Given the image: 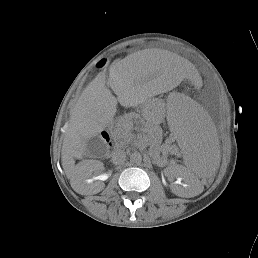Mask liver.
<instances>
[{"label": "liver", "mask_w": 258, "mask_h": 258, "mask_svg": "<svg viewBox=\"0 0 258 258\" xmlns=\"http://www.w3.org/2000/svg\"><path fill=\"white\" fill-rule=\"evenodd\" d=\"M157 75L158 70L140 61L136 53L117 62L110 69L109 85L118 96L117 99L106 88L103 73H99L84 89L71 112L61 150V164L75 192L82 195L90 193L85 180L91 176V171L86 163L92 161L75 166L74 158L81 159L87 155V140L97 136L106 127L107 120L116 112L117 100L123 106L127 104L134 80L138 76Z\"/></svg>", "instance_id": "obj_1"}]
</instances>
